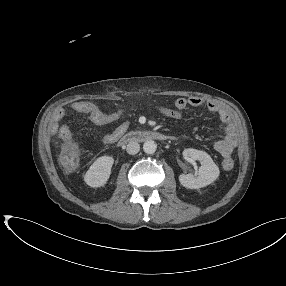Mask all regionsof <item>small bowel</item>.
Masks as SVG:
<instances>
[{"label": "small bowel", "instance_id": "obj_1", "mask_svg": "<svg viewBox=\"0 0 286 286\" xmlns=\"http://www.w3.org/2000/svg\"><path fill=\"white\" fill-rule=\"evenodd\" d=\"M203 105L206 106L208 111L217 114L224 124L225 136L215 144V149L223 157L228 158L238 146L239 136L235 130L231 113L225 106L193 96L189 98H178L172 108L160 107L158 108V111L169 118L181 119V112L187 107H200ZM70 108L76 113L87 116L92 123L98 126L113 124L123 118L127 113V110L124 108L104 112L96 104L82 100L71 103ZM66 114L64 108H58L54 111L52 115V131L60 137H68L71 139L72 134L69 127L61 124V121L65 118ZM128 127L129 121H122L113 131L103 135L100 138V141L104 144H113L127 131Z\"/></svg>", "mask_w": 286, "mask_h": 286}]
</instances>
